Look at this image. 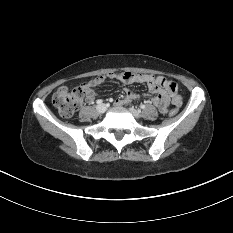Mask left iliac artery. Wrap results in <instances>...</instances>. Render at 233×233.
Returning <instances> with one entry per match:
<instances>
[{"label": "left iliac artery", "mask_w": 233, "mask_h": 233, "mask_svg": "<svg viewBox=\"0 0 233 233\" xmlns=\"http://www.w3.org/2000/svg\"><path fill=\"white\" fill-rule=\"evenodd\" d=\"M140 108H141V109H145V105H144V104H141V105H140Z\"/></svg>", "instance_id": "1"}]
</instances>
